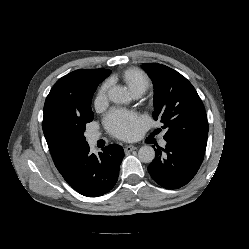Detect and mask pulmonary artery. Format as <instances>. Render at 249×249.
Masks as SVG:
<instances>
[{
    "label": "pulmonary artery",
    "mask_w": 249,
    "mask_h": 249,
    "mask_svg": "<svg viewBox=\"0 0 249 249\" xmlns=\"http://www.w3.org/2000/svg\"><path fill=\"white\" fill-rule=\"evenodd\" d=\"M141 95H134L135 98H139ZM100 138V135L98 133H90L87 135V140L90 145H94L97 140ZM160 145L162 147H165L167 145V141L165 139H161Z\"/></svg>",
    "instance_id": "1"
}]
</instances>
